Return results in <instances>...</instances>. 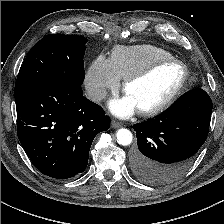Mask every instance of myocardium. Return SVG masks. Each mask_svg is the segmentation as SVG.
Masks as SVG:
<instances>
[{
  "mask_svg": "<svg viewBox=\"0 0 224 224\" xmlns=\"http://www.w3.org/2000/svg\"><path fill=\"white\" fill-rule=\"evenodd\" d=\"M168 64H178L182 68L183 76L180 83L178 84L176 89L164 101H162L158 105L151 107L149 109L138 110V113L140 115L145 117H151V116L158 115L166 111L168 108H170L178 100V98L182 95V93L185 90L186 84L190 76L189 69L186 66V64L179 59H176L174 57L164 58V59H159L152 62L145 68L129 75L128 77L124 79L122 89H123V92L126 94L128 87L132 83L145 79L146 77L151 75L154 71H156L158 68Z\"/></svg>",
  "mask_w": 224,
  "mask_h": 224,
  "instance_id": "1",
  "label": "myocardium"
}]
</instances>
